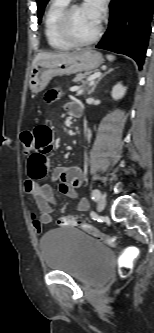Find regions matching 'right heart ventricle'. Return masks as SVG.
Here are the masks:
<instances>
[{
  "instance_id": "right-heart-ventricle-1",
  "label": "right heart ventricle",
  "mask_w": 154,
  "mask_h": 333,
  "mask_svg": "<svg viewBox=\"0 0 154 333\" xmlns=\"http://www.w3.org/2000/svg\"><path fill=\"white\" fill-rule=\"evenodd\" d=\"M70 0H51L44 15V34L48 45L58 51H66L74 46L67 42L58 31V20Z\"/></svg>"
}]
</instances>
